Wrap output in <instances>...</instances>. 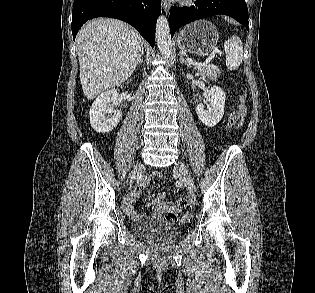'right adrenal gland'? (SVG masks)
I'll use <instances>...</instances> for the list:
<instances>
[{
  "label": "right adrenal gland",
  "instance_id": "obj_1",
  "mask_svg": "<svg viewBox=\"0 0 315 293\" xmlns=\"http://www.w3.org/2000/svg\"><path fill=\"white\" fill-rule=\"evenodd\" d=\"M143 54H144V52H143L142 55H141V58H140V60H139V64H140V63H143Z\"/></svg>",
  "mask_w": 315,
  "mask_h": 293
}]
</instances>
